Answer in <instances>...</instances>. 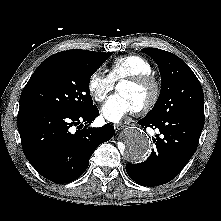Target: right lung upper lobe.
<instances>
[{
    "mask_svg": "<svg viewBox=\"0 0 221 221\" xmlns=\"http://www.w3.org/2000/svg\"><path fill=\"white\" fill-rule=\"evenodd\" d=\"M100 52H92L88 50H67L52 55L58 58H69L73 60L88 61L96 57Z\"/></svg>",
    "mask_w": 221,
    "mask_h": 221,
    "instance_id": "cb5924a9",
    "label": "right lung upper lobe"
}]
</instances>
